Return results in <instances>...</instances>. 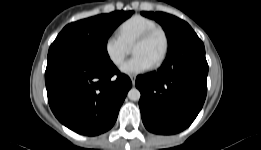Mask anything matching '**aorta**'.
<instances>
[{
	"label": "aorta",
	"instance_id": "obj_1",
	"mask_svg": "<svg viewBox=\"0 0 261 150\" xmlns=\"http://www.w3.org/2000/svg\"><path fill=\"white\" fill-rule=\"evenodd\" d=\"M128 98L132 101H138L141 97V93L138 89L132 88L128 92Z\"/></svg>",
	"mask_w": 261,
	"mask_h": 150
}]
</instances>
